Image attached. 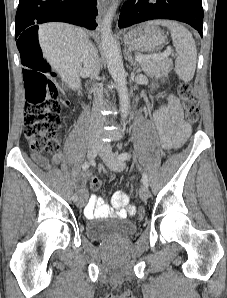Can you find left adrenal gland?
<instances>
[{
  "label": "left adrenal gland",
  "mask_w": 227,
  "mask_h": 298,
  "mask_svg": "<svg viewBox=\"0 0 227 298\" xmlns=\"http://www.w3.org/2000/svg\"><path fill=\"white\" fill-rule=\"evenodd\" d=\"M126 55H127V58H128L129 63L132 66H134V67H138L139 66L138 63L136 61H134L132 55L128 51H126Z\"/></svg>",
  "instance_id": "a2214340"
}]
</instances>
